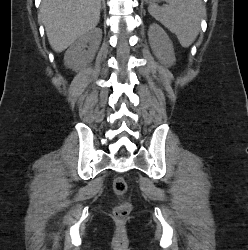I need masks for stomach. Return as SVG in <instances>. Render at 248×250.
I'll list each match as a JSON object with an SVG mask.
<instances>
[{
  "label": "stomach",
  "mask_w": 248,
  "mask_h": 250,
  "mask_svg": "<svg viewBox=\"0 0 248 250\" xmlns=\"http://www.w3.org/2000/svg\"><path fill=\"white\" fill-rule=\"evenodd\" d=\"M156 1H158V0H149L150 3H154Z\"/></svg>",
  "instance_id": "1"
}]
</instances>
